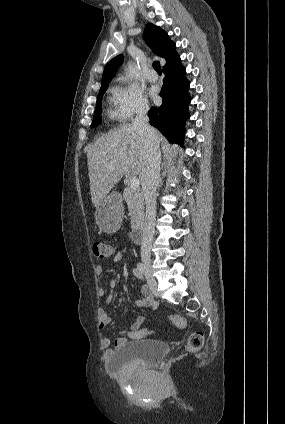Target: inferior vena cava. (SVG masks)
<instances>
[{"mask_svg": "<svg viewBox=\"0 0 285 424\" xmlns=\"http://www.w3.org/2000/svg\"><path fill=\"white\" fill-rule=\"evenodd\" d=\"M148 110V105L141 106L132 125L139 131L146 148L147 166L142 180L146 214L141 257L150 261L151 246L155 234L156 190L160 178L161 154L155 130L149 125Z\"/></svg>", "mask_w": 285, "mask_h": 424, "instance_id": "obj_1", "label": "inferior vena cava"}]
</instances>
